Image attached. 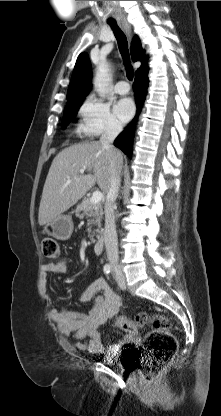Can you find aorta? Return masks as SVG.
Masks as SVG:
<instances>
[{
    "mask_svg": "<svg viewBox=\"0 0 221 416\" xmlns=\"http://www.w3.org/2000/svg\"><path fill=\"white\" fill-rule=\"evenodd\" d=\"M109 81V65L102 63L99 65L95 78L94 87L100 96L104 97L106 93V86Z\"/></svg>",
    "mask_w": 221,
    "mask_h": 416,
    "instance_id": "aorta-1",
    "label": "aorta"
}]
</instances>
